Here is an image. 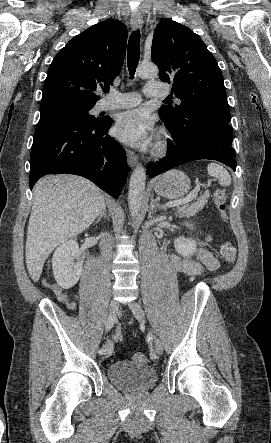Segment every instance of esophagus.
Wrapping results in <instances>:
<instances>
[{
	"instance_id": "obj_1",
	"label": "esophagus",
	"mask_w": 271,
	"mask_h": 443,
	"mask_svg": "<svg viewBox=\"0 0 271 443\" xmlns=\"http://www.w3.org/2000/svg\"><path fill=\"white\" fill-rule=\"evenodd\" d=\"M130 25L133 28V30H137L138 28H141L143 26L142 15H131ZM127 161H128V165L130 167H133L134 165H136V163L138 161V157L133 151L127 150Z\"/></svg>"
}]
</instances>
